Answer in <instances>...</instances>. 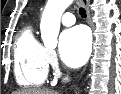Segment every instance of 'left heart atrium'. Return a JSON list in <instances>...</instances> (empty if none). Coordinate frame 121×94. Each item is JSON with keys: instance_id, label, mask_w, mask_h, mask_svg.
<instances>
[{"instance_id": "1", "label": "left heart atrium", "mask_w": 121, "mask_h": 94, "mask_svg": "<svg viewBox=\"0 0 121 94\" xmlns=\"http://www.w3.org/2000/svg\"><path fill=\"white\" fill-rule=\"evenodd\" d=\"M60 56L71 67H80L88 59L91 50L90 35L86 28L76 26L65 30L59 42Z\"/></svg>"}]
</instances>
